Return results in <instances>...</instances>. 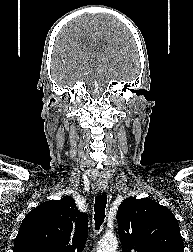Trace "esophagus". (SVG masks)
I'll return each instance as SVG.
<instances>
[{"instance_id":"obj_1","label":"esophagus","mask_w":193,"mask_h":252,"mask_svg":"<svg viewBox=\"0 0 193 252\" xmlns=\"http://www.w3.org/2000/svg\"><path fill=\"white\" fill-rule=\"evenodd\" d=\"M106 184L100 183L97 185L96 189L99 194H102L106 191Z\"/></svg>"}]
</instances>
